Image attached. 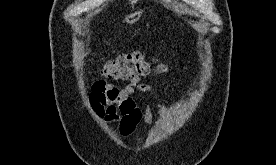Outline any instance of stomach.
Masks as SVG:
<instances>
[{
    "mask_svg": "<svg viewBox=\"0 0 276 165\" xmlns=\"http://www.w3.org/2000/svg\"><path fill=\"white\" fill-rule=\"evenodd\" d=\"M142 14H143L142 10L134 11L125 17L124 22H126L127 24H134L140 19Z\"/></svg>",
    "mask_w": 276,
    "mask_h": 165,
    "instance_id": "stomach-1",
    "label": "stomach"
}]
</instances>
